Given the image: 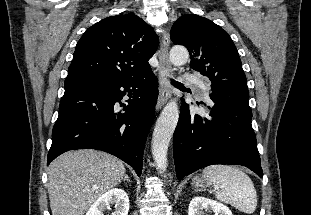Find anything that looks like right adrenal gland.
Masks as SVG:
<instances>
[{
	"instance_id": "right-adrenal-gland-1",
	"label": "right adrenal gland",
	"mask_w": 311,
	"mask_h": 215,
	"mask_svg": "<svg viewBox=\"0 0 311 215\" xmlns=\"http://www.w3.org/2000/svg\"><path fill=\"white\" fill-rule=\"evenodd\" d=\"M125 181H127L128 183L131 182V180H130V178L128 177V175H125V177H124V182H125Z\"/></svg>"
}]
</instances>
